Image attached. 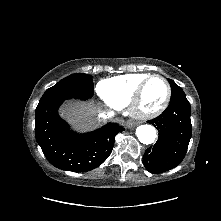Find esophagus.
<instances>
[{
	"label": "esophagus",
	"instance_id": "34e87169",
	"mask_svg": "<svg viewBox=\"0 0 221 221\" xmlns=\"http://www.w3.org/2000/svg\"><path fill=\"white\" fill-rule=\"evenodd\" d=\"M127 126H128L129 129H133V128L135 127V126H134L133 124H131V123H129Z\"/></svg>",
	"mask_w": 221,
	"mask_h": 221
}]
</instances>
